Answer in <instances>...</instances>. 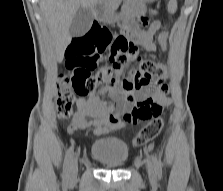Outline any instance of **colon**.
<instances>
[{"mask_svg": "<svg viewBox=\"0 0 223 191\" xmlns=\"http://www.w3.org/2000/svg\"><path fill=\"white\" fill-rule=\"evenodd\" d=\"M166 41L167 34L162 33L159 36L162 47L166 46ZM106 51L112 65L93 73L103 61ZM66 66L72 74L60 77L57 84L56 113L60 119L71 116L75 95L85 97L96 85L115 82L125 72L133 75L132 82L125 85L128 89L148 85L156 78L169 77L164 69L168 67V62L157 63L142 58L135 43L126 34L114 36L106 27H92L85 34L75 37L66 49ZM159 111L160 108L152 109L154 118L135 135L134 146L144 147L159 134L163 125Z\"/></svg>", "mask_w": 223, "mask_h": 191, "instance_id": "1", "label": "colon"}]
</instances>
